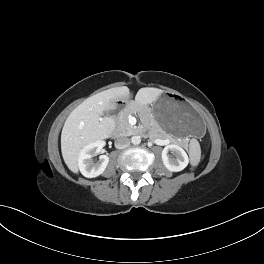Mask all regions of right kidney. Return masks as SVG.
Masks as SVG:
<instances>
[{
    "label": "right kidney",
    "mask_w": 264,
    "mask_h": 264,
    "mask_svg": "<svg viewBox=\"0 0 264 264\" xmlns=\"http://www.w3.org/2000/svg\"><path fill=\"white\" fill-rule=\"evenodd\" d=\"M104 145L103 141H95L81 149L78 157V167L83 176L94 178L105 171L109 162L108 156L101 155L96 163L92 160L93 155L100 152Z\"/></svg>",
    "instance_id": "1"
}]
</instances>
